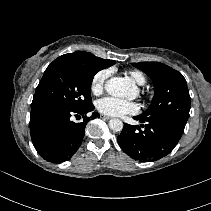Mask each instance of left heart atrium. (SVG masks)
<instances>
[{
  "instance_id": "1",
  "label": "left heart atrium",
  "mask_w": 211,
  "mask_h": 211,
  "mask_svg": "<svg viewBox=\"0 0 211 211\" xmlns=\"http://www.w3.org/2000/svg\"><path fill=\"white\" fill-rule=\"evenodd\" d=\"M96 107L99 112L110 116L134 114L139 109L135 102L113 96L98 100Z\"/></svg>"
}]
</instances>
